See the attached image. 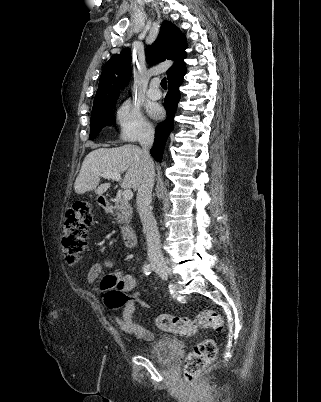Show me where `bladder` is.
Segmentation results:
<instances>
[{"instance_id": "obj_1", "label": "bladder", "mask_w": 321, "mask_h": 402, "mask_svg": "<svg viewBox=\"0 0 321 402\" xmlns=\"http://www.w3.org/2000/svg\"><path fill=\"white\" fill-rule=\"evenodd\" d=\"M179 349V341L168 334H161L147 349L152 359L168 364L174 361Z\"/></svg>"}]
</instances>
